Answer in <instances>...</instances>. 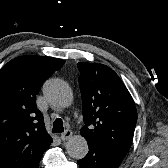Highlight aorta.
I'll list each match as a JSON object with an SVG mask.
<instances>
[{"label": "aorta", "mask_w": 168, "mask_h": 168, "mask_svg": "<svg viewBox=\"0 0 168 168\" xmlns=\"http://www.w3.org/2000/svg\"><path fill=\"white\" fill-rule=\"evenodd\" d=\"M43 94L47 101L56 107L66 108L73 103L71 87L63 80L50 79L43 86ZM68 155L74 159H82L88 153V144L81 135L72 136L66 143Z\"/></svg>", "instance_id": "762f6f07"}]
</instances>
